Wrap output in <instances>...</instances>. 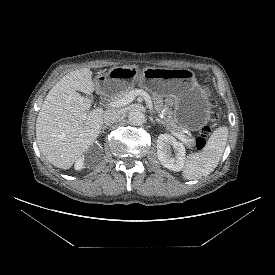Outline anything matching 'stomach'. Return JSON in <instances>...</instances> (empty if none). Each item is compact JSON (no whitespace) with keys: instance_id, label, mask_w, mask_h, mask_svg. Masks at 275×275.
Returning a JSON list of instances; mask_svg holds the SVG:
<instances>
[{"instance_id":"obj_1","label":"stomach","mask_w":275,"mask_h":275,"mask_svg":"<svg viewBox=\"0 0 275 275\" xmlns=\"http://www.w3.org/2000/svg\"><path fill=\"white\" fill-rule=\"evenodd\" d=\"M137 82L155 94L176 98L174 119L179 126L197 130L208 122V96L190 69L146 67L140 70L136 66H122L113 67L95 79L99 92L111 94L132 88Z\"/></svg>"}]
</instances>
